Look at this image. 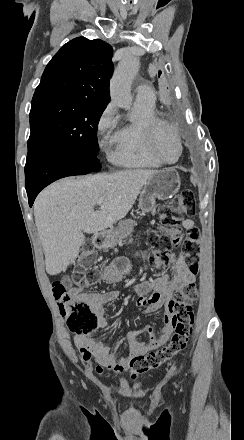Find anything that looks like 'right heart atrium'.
Instances as JSON below:
<instances>
[{
    "mask_svg": "<svg viewBox=\"0 0 244 440\" xmlns=\"http://www.w3.org/2000/svg\"><path fill=\"white\" fill-rule=\"evenodd\" d=\"M117 120V106L111 101L101 112L96 124L97 135L105 147L109 144L110 132L115 127Z\"/></svg>",
    "mask_w": 244,
    "mask_h": 440,
    "instance_id": "1",
    "label": "right heart atrium"
}]
</instances>
